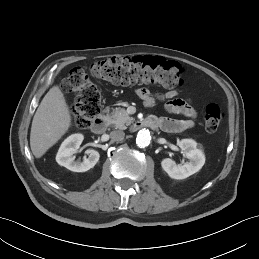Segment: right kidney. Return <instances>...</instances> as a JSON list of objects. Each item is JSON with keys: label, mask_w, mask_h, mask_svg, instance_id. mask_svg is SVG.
<instances>
[{"label": "right kidney", "mask_w": 259, "mask_h": 259, "mask_svg": "<svg viewBox=\"0 0 259 259\" xmlns=\"http://www.w3.org/2000/svg\"><path fill=\"white\" fill-rule=\"evenodd\" d=\"M83 139L82 134H72L66 138L56 155L57 163L74 172H85L93 168L100 157L98 151L92 149L87 150L88 158H84L82 162L75 161L73 157V154L76 153Z\"/></svg>", "instance_id": "1"}]
</instances>
